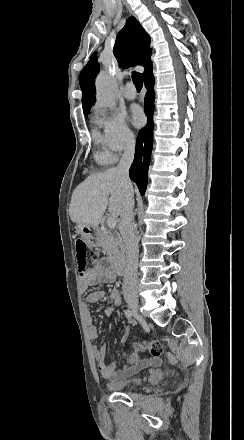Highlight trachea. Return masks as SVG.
<instances>
[{"mask_svg": "<svg viewBox=\"0 0 244 440\" xmlns=\"http://www.w3.org/2000/svg\"><path fill=\"white\" fill-rule=\"evenodd\" d=\"M132 80H133V83H134L136 89L138 91H140L142 86H143L142 76L139 73H133L132 74Z\"/></svg>", "mask_w": 244, "mask_h": 440, "instance_id": "1", "label": "trachea"}]
</instances>
